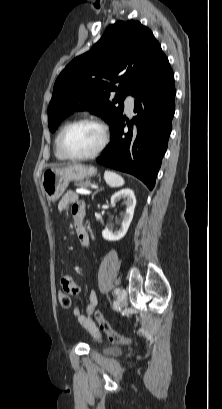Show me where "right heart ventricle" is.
Segmentation results:
<instances>
[{
	"mask_svg": "<svg viewBox=\"0 0 222 409\" xmlns=\"http://www.w3.org/2000/svg\"><path fill=\"white\" fill-rule=\"evenodd\" d=\"M71 123L70 120L65 121L59 128L56 139H55V156L58 160H67L60 150V137L64 129Z\"/></svg>",
	"mask_w": 222,
	"mask_h": 409,
	"instance_id": "obj_1",
	"label": "right heart ventricle"
}]
</instances>
